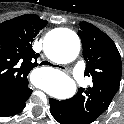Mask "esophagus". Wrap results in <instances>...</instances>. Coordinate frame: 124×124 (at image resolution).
Instances as JSON below:
<instances>
[{
  "label": "esophagus",
  "mask_w": 124,
  "mask_h": 124,
  "mask_svg": "<svg viewBox=\"0 0 124 124\" xmlns=\"http://www.w3.org/2000/svg\"><path fill=\"white\" fill-rule=\"evenodd\" d=\"M65 71H66L67 73H71V70H70V69H65Z\"/></svg>",
  "instance_id": "34e87169"
}]
</instances>
